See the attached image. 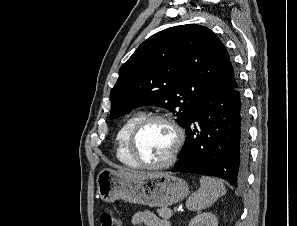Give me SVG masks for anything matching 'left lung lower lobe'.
Listing matches in <instances>:
<instances>
[{
	"mask_svg": "<svg viewBox=\"0 0 297 226\" xmlns=\"http://www.w3.org/2000/svg\"><path fill=\"white\" fill-rule=\"evenodd\" d=\"M247 127L248 111L239 86L206 91L183 126L187 138L171 171L216 176L235 187L242 185L249 159Z\"/></svg>",
	"mask_w": 297,
	"mask_h": 226,
	"instance_id": "obj_1",
	"label": "left lung lower lobe"
}]
</instances>
